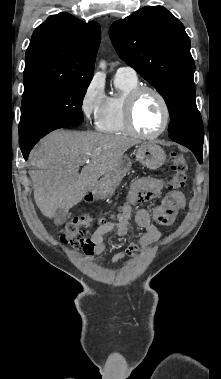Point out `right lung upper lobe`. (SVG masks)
<instances>
[{"label":"right lung upper lobe","mask_w":221,"mask_h":379,"mask_svg":"<svg viewBox=\"0 0 221 379\" xmlns=\"http://www.w3.org/2000/svg\"><path fill=\"white\" fill-rule=\"evenodd\" d=\"M101 41L97 22L69 13L50 16L38 26L25 56L24 92L93 77Z\"/></svg>","instance_id":"cb5924a9"}]
</instances>
